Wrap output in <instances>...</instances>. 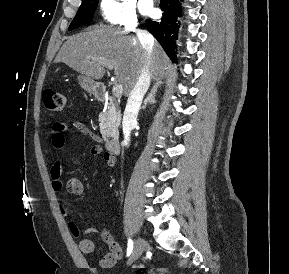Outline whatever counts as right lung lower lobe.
Segmentation results:
<instances>
[{"label":"right lung lower lobe","mask_w":289,"mask_h":274,"mask_svg":"<svg viewBox=\"0 0 289 274\" xmlns=\"http://www.w3.org/2000/svg\"><path fill=\"white\" fill-rule=\"evenodd\" d=\"M163 11L160 21L146 20L147 30L158 40L171 60L175 59V40L178 37V20L182 15L178 0H161L159 4Z\"/></svg>","instance_id":"1"}]
</instances>
